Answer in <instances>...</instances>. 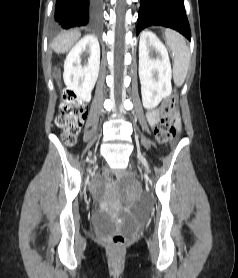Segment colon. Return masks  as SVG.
Listing matches in <instances>:
<instances>
[{"label":"colon","instance_id":"5ec220e1","mask_svg":"<svg viewBox=\"0 0 238 278\" xmlns=\"http://www.w3.org/2000/svg\"><path fill=\"white\" fill-rule=\"evenodd\" d=\"M86 116V106L72 91H65L56 124L62 131V139L66 145L74 144ZM176 123V101L174 96H170L160 106V122L155 129L157 140L161 143L171 142L176 137ZM104 174L109 183H116L120 178V174L112 169H106ZM101 237L114 249L121 248L126 242L125 235L120 232L102 233Z\"/></svg>","mask_w":238,"mask_h":278}]
</instances>
